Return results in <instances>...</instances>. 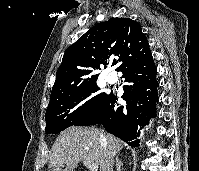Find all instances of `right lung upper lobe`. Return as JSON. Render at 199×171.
<instances>
[{
    "instance_id": "obj_1",
    "label": "right lung upper lobe",
    "mask_w": 199,
    "mask_h": 171,
    "mask_svg": "<svg viewBox=\"0 0 199 171\" xmlns=\"http://www.w3.org/2000/svg\"><path fill=\"white\" fill-rule=\"evenodd\" d=\"M150 55L148 40L136 21L113 18L98 23L66 49L56 73L49 105L84 85L96 82V70L105 68L110 57H118L113 64L118 63L117 71H123Z\"/></svg>"
}]
</instances>
